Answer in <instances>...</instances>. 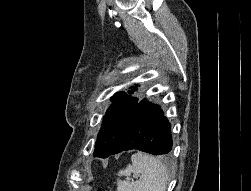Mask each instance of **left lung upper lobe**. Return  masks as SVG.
<instances>
[{
    "mask_svg": "<svg viewBox=\"0 0 251 191\" xmlns=\"http://www.w3.org/2000/svg\"><path fill=\"white\" fill-rule=\"evenodd\" d=\"M131 89L129 94L136 90L135 87H131ZM129 94L117 92L111 98L113 104L109 107L103 118V123L95 143L94 156L103 158L108 157L116 137L138 104L139 99L131 97Z\"/></svg>",
    "mask_w": 251,
    "mask_h": 191,
    "instance_id": "1",
    "label": "left lung upper lobe"
}]
</instances>
